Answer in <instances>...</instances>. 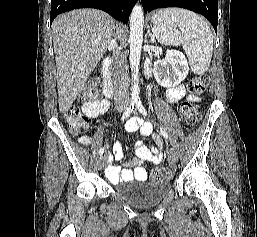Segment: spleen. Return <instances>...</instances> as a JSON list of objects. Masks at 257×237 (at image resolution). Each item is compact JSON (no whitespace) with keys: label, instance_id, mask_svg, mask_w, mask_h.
<instances>
[{"label":"spleen","instance_id":"3e777b00","mask_svg":"<svg viewBox=\"0 0 257 237\" xmlns=\"http://www.w3.org/2000/svg\"><path fill=\"white\" fill-rule=\"evenodd\" d=\"M151 22L153 34L161 44L183 47L195 74L208 70L213 34L202 17L185 9L168 8L157 11Z\"/></svg>","mask_w":257,"mask_h":237}]
</instances>
